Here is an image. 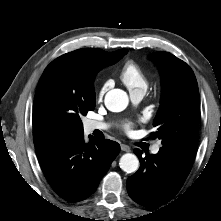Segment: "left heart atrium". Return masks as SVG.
Here are the masks:
<instances>
[{
	"mask_svg": "<svg viewBox=\"0 0 221 221\" xmlns=\"http://www.w3.org/2000/svg\"><path fill=\"white\" fill-rule=\"evenodd\" d=\"M131 128H132V124H131V123L125 124V129H126L127 131H130Z\"/></svg>",
	"mask_w": 221,
	"mask_h": 221,
	"instance_id": "39dd6f15",
	"label": "left heart atrium"
}]
</instances>
